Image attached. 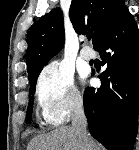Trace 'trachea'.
<instances>
[{
  "mask_svg": "<svg viewBox=\"0 0 139 150\" xmlns=\"http://www.w3.org/2000/svg\"><path fill=\"white\" fill-rule=\"evenodd\" d=\"M91 37H92V34H88V35H87L88 40H90Z\"/></svg>",
  "mask_w": 139,
  "mask_h": 150,
  "instance_id": "trachea-1",
  "label": "trachea"
}]
</instances>
